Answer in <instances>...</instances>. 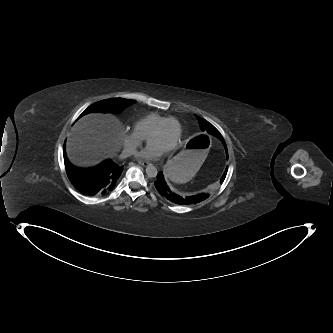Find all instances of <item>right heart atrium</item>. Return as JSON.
Wrapping results in <instances>:
<instances>
[{
  "label": "right heart atrium",
  "mask_w": 333,
  "mask_h": 333,
  "mask_svg": "<svg viewBox=\"0 0 333 333\" xmlns=\"http://www.w3.org/2000/svg\"><path fill=\"white\" fill-rule=\"evenodd\" d=\"M143 138L135 132H126L124 136L125 149L129 154H134L137 148L142 144Z\"/></svg>",
  "instance_id": "right-heart-atrium-1"
}]
</instances>
